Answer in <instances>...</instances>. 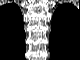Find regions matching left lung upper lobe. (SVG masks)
I'll return each instance as SVG.
<instances>
[{"label": "left lung upper lobe", "instance_id": "left-lung-upper-lobe-1", "mask_svg": "<svg viewBox=\"0 0 80 60\" xmlns=\"http://www.w3.org/2000/svg\"><path fill=\"white\" fill-rule=\"evenodd\" d=\"M77 9L71 4H63L57 8L53 15L50 50L62 58L69 47L80 42L79 33L73 31V20ZM57 42V46L55 45Z\"/></svg>", "mask_w": 80, "mask_h": 60}]
</instances>
